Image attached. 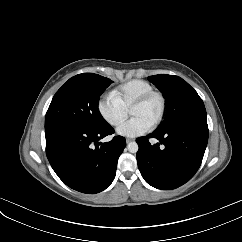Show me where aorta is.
<instances>
[{
    "instance_id": "1",
    "label": "aorta",
    "mask_w": 242,
    "mask_h": 242,
    "mask_svg": "<svg viewBox=\"0 0 242 242\" xmlns=\"http://www.w3.org/2000/svg\"><path fill=\"white\" fill-rule=\"evenodd\" d=\"M128 151L131 153H136L139 149V146L136 142H130L127 146Z\"/></svg>"
}]
</instances>
